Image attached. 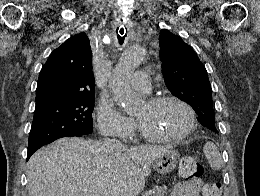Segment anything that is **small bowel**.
<instances>
[{
    "instance_id": "1",
    "label": "small bowel",
    "mask_w": 260,
    "mask_h": 196,
    "mask_svg": "<svg viewBox=\"0 0 260 196\" xmlns=\"http://www.w3.org/2000/svg\"><path fill=\"white\" fill-rule=\"evenodd\" d=\"M206 185L207 184L199 178L180 181L174 186L170 196H208Z\"/></svg>"
}]
</instances>
